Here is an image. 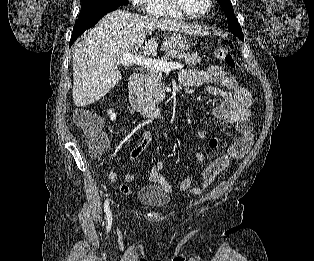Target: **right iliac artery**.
<instances>
[{"label":"right iliac artery","instance_id":"right-iliac-artery-1","mask_svg":"<svg viewBox=\"0 0 314 261\" xmlns=\"http://www.w3.org/2000/svg\"><path fill=\"white\" fill-rule=\"evenodd\" d=\"M104 212L106 214L107 227L109 228L111 226V224H112V214H111V211H110L109 199H106V201H105Z\"/></svg>","mask_w":314,"mask_h":261}]
</instances>
